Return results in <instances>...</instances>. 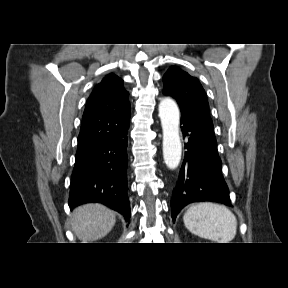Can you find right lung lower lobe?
<instances>
[{
  "label": "right lung lower lobe",
  "mask_w": 288,
  "mask_h": 288,
  "mask_svg": "<svg viewBox=\"0 0 288 288\" xmlns=\"http://www.w3.org/2000/svg\"><path fill=\"white\" fill-rule=\"evenodd\" d=\"M119 130L110 139L77 152L70 184L69 207L102 203L131 217L127 182V132Z\"/></svg>",
  "instance_id": "right-lung-lower-lobe-1"
}]
</instances>
